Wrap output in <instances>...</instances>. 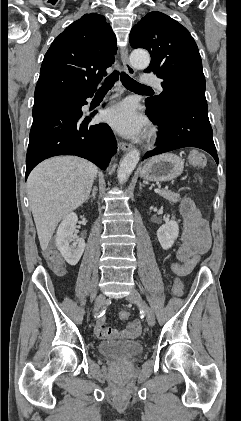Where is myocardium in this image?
<instances>
[{
	"instance_id": "myocardium-1",
	"label": "myocardium",
	"mask_w": 241,
	"mask_h": 421,
	"mask_svg": "<svg viewBox=\"0 0 241 421\" xmlns=\"http://www.w3.org/2000/svg\"><path fill=\"white\" fill-rule=\"evenodd\" d=\"M154 137V133H152V136H151V138H153Z\"/></svg>"
}]
</instances>
